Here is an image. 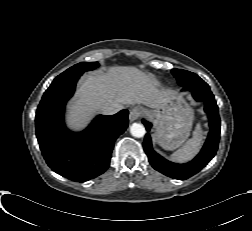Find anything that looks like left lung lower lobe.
<instances>
[{
  "instance_id": "left-lung-lower-lobe-1",
  "label": "left lung lower lobe",
  "mask_w": 252,
  "mask_h": 231,
  "mask_svg": "<svg viewBox=\"0 0 252 231\" xmlns=\"http://www.w3.org/2000/svg\"><path fill=\"white\" fill-rule=\"evenodd\" d=\"M182 90L190 91L196 101L204 102V110L208 114L210 120V132L200 153L189 163L176 164L164 159L153 150L151 137L148 133L143 142L144 151L153 168L164 175L175 179H187L205 167L216 154L220 138L218 106L208 84L189 85L183 87ZM142 122L146 126L147 131H149L152 126L151 123L145 120H142Z\"/></svg>"
}]
</instances>
